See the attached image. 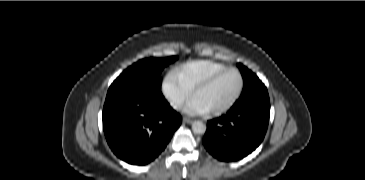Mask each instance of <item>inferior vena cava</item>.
Instances as JSON below:
<instances>
[{
    "label": "inferior vena cava",
    "mask_w": 365,
    "mask_h": 180,
    "mask_svg": "<svg viewBox=\"0 0 365 180\" xmlns=\"http://www.w3.org/2000/svg\"><path fill=\"white\" fill-rule=\"evenodd\" d=\"M183 103V100L181 98H175V99H172L170 101V105L174 108V109H178L180 108V106L182 105Z\"/></svg>",
    "instance_id": "1"
}]
</instances>
